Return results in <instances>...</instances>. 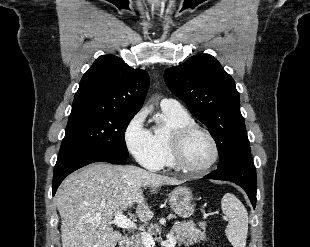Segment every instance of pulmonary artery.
Segmentation results:
<instances>
[{"mask_svg":"<svg viewBox=\"0 0 310 247\" xmlns=\"http://www.w3.org/2000/svg\"><path fill=\"white\" fill-rule=\"evenodd\" d=\"M160 106L162 109H169L173 111H184L185 110L178 101H176L175 99H171V98L162 99Z\"/></svg>","mask_w":310,"mask_h":247,"instance_id":"pulmonary-artery-1","label":"pulmonary artery"}]
</instances>
